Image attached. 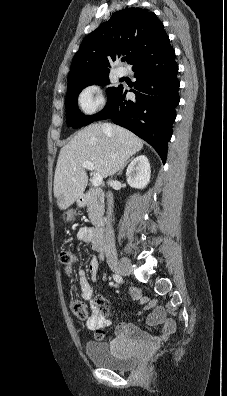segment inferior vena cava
I'll list each match as a JSON object with an SVG mask.
<instances>
[{
  "label": "inferior vena cava",
  "instance_id": "obj_1",
  "mask_svg": "<svg viewBox=\"0 0 227 396\" xmlns=\"http://www.w3.org/2000/svg\"><path fill=\"white\" fill-rule=\"evenodd\" d=\"M108 128V126H106ZM108 184L112 186L114 184V181H109ZM109 200H108V209H107V214H108V221L112 212V207H113V196L111 193L108 194ZM104 251L106 253V256H112L116 254V249H115V238H114V232L112 229V226L108 222L106 226V231H105V236H104Z\"/></svg>",
  "mask_w": 227,
  "mask_h": 396
}]
</instances>
